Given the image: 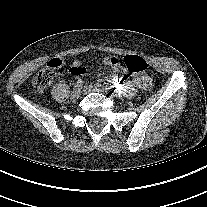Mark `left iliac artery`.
Listing matches in <instances>:
<instances>
[{"mask_svg":"<svg viewBox=\"0 0 207 207\" xmlns=\"http://www.w3.org/2000/svg\"><path fill=\"white\" fill-rule=\"evenodd\" d=\"M97 86H98V87H101V85H99V84H97ZM102 88L107 89V90L110 91L114 96H120V94H121V91H120L119 88H118V89H115V88H113V87H111V86H108L107 88H106V87H102Z\"/></svg>","mask_w":207,"mask_h":207,"instance_id":"left-iliac-artery-1","label":"left iliac artery"}]
</instances>
